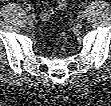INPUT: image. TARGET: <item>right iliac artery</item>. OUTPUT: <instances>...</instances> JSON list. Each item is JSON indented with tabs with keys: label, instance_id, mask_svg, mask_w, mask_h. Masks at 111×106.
<instances>
[{
	"label": "right iliac artery",
	"instance_id": "obj_1",
	"mask_svg": "<svg viewBox=\"0 0 111 106\" xmlns=\"http://www.w3.org/2000/svg\"><path fill=\"white\" fill-rule=\"evenodd\" d=\"M26 11L30 14V12H31V8L28 7V8L26 9ZM28 16H30V15H28Z\"/></svg>",
	"mask_w": 111,
	"mask_h": 106
}]
</instances>
